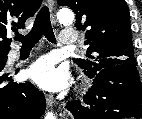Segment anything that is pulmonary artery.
<instances>
[{"mask_svg": "<svg viewBox=\"0 0 142 119\" xmlns=\"http://www.w3.org/2000/svg\"><path fill=\"white\" fill-rule=\"evenodd\" d=\"M78 42V34L71 28H64L61 32L60 43L64 46L74 45ZM17 56V51H12L9 55L10 60H14Z\"/></svg>", "mask_w": 142, "mask_h": 119, "instance_id": "obj_1", "label": "pulmonary artery"}]
</instances>
